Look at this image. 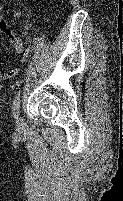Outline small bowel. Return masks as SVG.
I'll list each match as a JSON object with an SVG mask.
<instances>
[{
  "label": "small bowel",
  "mask_w": 123,
  "mask_h": 201,
  "mask_svg": "<svg viewBox=\"0 0 123 201\" xmlns=\"http://www.w3.org/2000/svg\"><path fill=\"white\" fill-rule=\"evenodd\" d=\"M2 12V6L0 4V14ZM0 30L10 39L11 44L15 50V52L18 54L19 58L17 60V64H22L28 53L25 51L24 46L20 38L18 37L17 31L13 29L7 22L0 20ZM2 63V60L0 59V64ZM19 72V68L15 67L8 73L4 74V77L10 78L15 75H17Z\"/></svg>",
  "instance_id": "small-bowel-1"
}]
</instances>
